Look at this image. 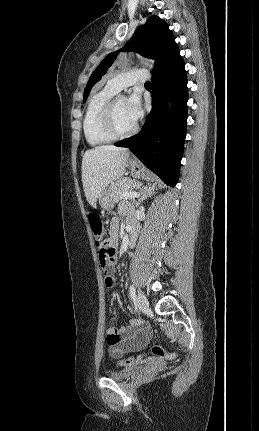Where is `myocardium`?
Returning a JSON list of instances; mask_svg holds the SVG:
<instances>
[{
    "mask_svg": "<svg viewBox=\"0 0 259 431\" xmlns=\"http://www.w3.org/2000/svg\"><path fill=\"white\" fill-rule=\"evenodd\" d=\"M121 96L116 95L113 96L104 106V109L102 111V124L104 127V130L113 138H125L129 137L136 133L138 130V125L135 123L134 126L126 131H122L118 128L116 119H115V105L117 100Z\"/></svg>",
    "mask_w": 259,
    "mask_h": 431,
    "instance_id": "1",
    "label": "myocardium"
}]
</instances>
